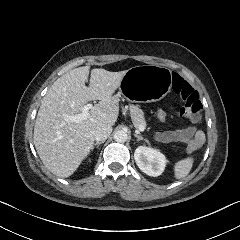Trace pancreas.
<instances>
[{
	"instance_id": "cf45deb5",
	"label": "pancreas",
	"mask_w": 240,
	"mask_h": 240,
	"mask_svg": "<svg viewBox=\"0 0 240 240\" xmlns=\"http://www.w3.org/2000/svg\"><path fill=\"white\" fill-rule=\"evenodd\" d=\"M127 107L136 128H138L141 124H145L144 112L139 104L128 103Z\"/></svg>"
}]
</instances>
